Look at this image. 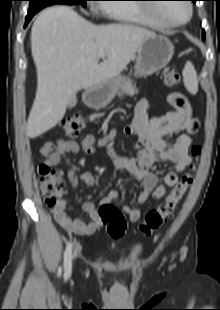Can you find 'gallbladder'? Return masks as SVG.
I'll use <instances>...</instances> for the list:
<instances>
[{
	"label": "gallbladder",
	"mask_w": 220,
	"mask_h": 310,
	"mask_svg": "<svg viewBox=\"0 0 220 310\" xmlns=\"http://www.w3.org/2000/svg\"><path fill=\"white\" fill-rule=\"evenodd\" d=\"M76 103H77L76 96L73 95V96L70 98V100H69L67 106H68L69 108H73V107H75Z\"/></svg>",
	"instance_id": "obj_1"
}]
</instances>
